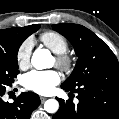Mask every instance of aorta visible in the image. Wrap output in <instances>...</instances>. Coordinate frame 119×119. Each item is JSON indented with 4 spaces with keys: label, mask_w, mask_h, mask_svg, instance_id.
<instances>
[{
    "label": "aorta",
    "mask_w": 119,
    "mask_h": 119,
    "mask_svg": "<svg viewBox=\"0 0 119 119\" xmlns=\"http://www.w3.org/2000/svg\"><path fill=\"white\" fill-rule=\"evenodd\" d=\"M31 62L36 69L41 70V69L49 68L51 62L50 51L41 48L36 49L33 53ZM58 108H59V103L56 99H48L44 103V109L48 113H55L57 112Z\"/></svg>",
    "instance_id": "obj_1"
}]
</instances>
